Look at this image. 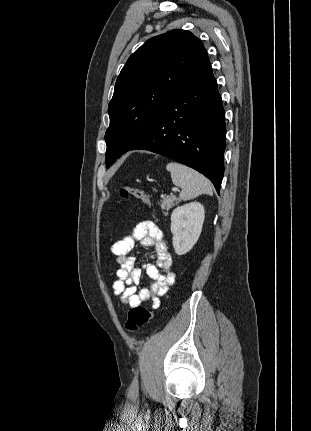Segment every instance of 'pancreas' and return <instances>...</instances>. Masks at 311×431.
I'll use <instances>...</instances> for the list:
<instances>
[{
	"instance_id": "1",
	"label": "pancreas",
	"mask_w": 311,
	"mask_h": 431,
	"mask_svg": "<svg viewBox=\"0 0 311 431\" xmlns=\"http://www.w3.org/2000/svg\"><path fill=\"white\" fill-rule=\"evenodd\" d=\"M180 202L181 200H179V198H176V196H166V198H163V200H161V204H159V206L160 208H162L163 214L167 216L168 210H170L172 206H177V204H180Z\"/></svg>"
}]
</instances>
